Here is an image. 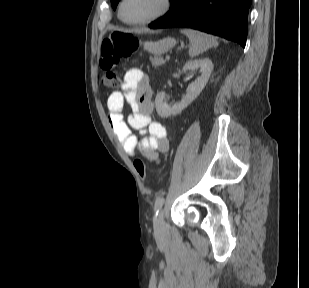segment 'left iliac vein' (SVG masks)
I'll use <instances>...</instances> for the list:
<instances>
[{"label":"left iliac vein","mask_w":309,"mask_h":288,"mask_svg":"<svg viewBox=\"0 0 309 288\" xmlns=\"http://www.w3.org/2000/svg\"><path fill=\"white\" fill-rule=\"evenodd\" d=\"M154 229L157 235L165 234L166 224L164 221V212L162 209L158 211L156 217L154 218Z\"/></svg>","instance_id":"obj_1"}]
</instances>
